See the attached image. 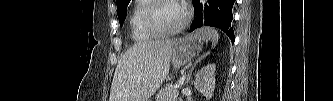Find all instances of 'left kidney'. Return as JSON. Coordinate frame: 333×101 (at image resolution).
<instances>
[{"instance_id": "5707ae66", "label": "left kidney", "mask_w": 333, "mask_h": 101, "mask_svg": "<svg viewBox=\"0 0 333 101\" xmlns=\"http://www.w3.org/2000/svg\"><path fill=\"white\" fill-rule=\"evenodd\" d=\"M215 71V64H208L199 70L195 76L194 86L206 99H210L215 90Z\"/></svg>"}]
</instances>
